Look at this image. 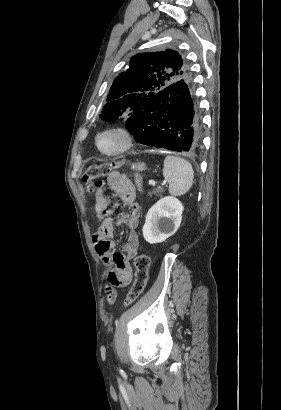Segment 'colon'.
I'll return each instance as SVG.
<instances>
[{"mask_svg":"<svg viewBox=\"0 0 281 410\" xmlns=\"http://www.w3.org/2000/svg\"><path fill=\"white\" fill-rule=\"evenodd\" d=\"M119 166V163H109V164H96L90 166L84 176L83 180L89 191L92 190L94 182L101 181L104 177L110 175L112 171ZM136 182L140 185L141 178L136 174ZM111 206L127 205L130 209V213L137 214L139 212V206L135 202L127 204L126 199L120 195H117L110 200ZM149 257L145 253L139 254L134 260L135 266V280L125 297V305H130L134 303L140 295L143 293L147 281H148V268H149ZM111 301V300H109Z\"/></svg>","mask_w":281,"mask_h":410,"instance_id":"obj_1","label":"colon"}]
</instances>
